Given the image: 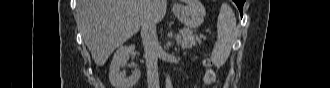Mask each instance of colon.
Listing matches in <instances>:
<instances>
[{"instance_id": "colon-1", "label": "colon", "mask_w": 330, "mask_h": 88, "mask_svg": "<svg viewBox=\"0 0 330 88\" xmlns=\"http://www.w3.org/2000/svg\"><path fill=\"white\" fill-rule=\"evenodd\" d=\"M214 78V74H213V71L211 69H208L207 72H206V80L208 82H211Z\"/></svg>"}]
</instances>
